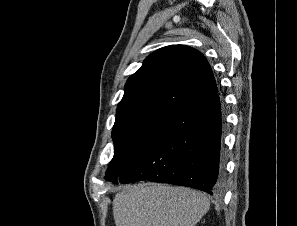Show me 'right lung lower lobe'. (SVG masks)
<instances>
[{
    "instance_id": "obj_1",
    "label": "right lung lower lobe",
    "mask_w": 297,
    "mask_h": 226,
    "mask_svg": "<svg viewBox=\"0 0 297 226\" xmlns=\"http://www.w3.org/2000/svg\"><path fill=\"white\" fill-rule=\"evenodd\" d=\"M222 125L217 93L181 108L114 183L148 180L217 194L223 176Z\"/></svg>"
}]
</instances>
